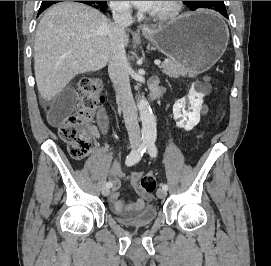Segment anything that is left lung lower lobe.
<instances>
[{
	"label": "left lung lower lobe",
	"instance_id": "obj_1",
	"mask_svg": "<svg viewBox=\"0 0 271 266\" xmlns=\"http://www.w3.org/2000/svg\"><path fill=\"white\" fill-rule=\"evenodd\" d=\"M219 13L222 14L225 18H228L227 11H221Z\"/></svg>",
	"mask_w": 271,
	"mask_h": 266
}]
</instances>
